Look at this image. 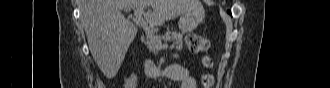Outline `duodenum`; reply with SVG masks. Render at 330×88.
<instances>
[{"label": "duodenum", "mask_w": 330, "mask_h": 88, "mask_svg": "<svg viewBox=\"0 0 330 88\" xmlns=\"http://www.w3.org/2000/svg\"><path fill=\"white\" fill-rule=\"evenodd\" d=\"M144 72L156 79L166 78V67H160L153 62H145L143 65Z\"/></svg>", "instance_id": "duodenum-1"}]
</instances>
